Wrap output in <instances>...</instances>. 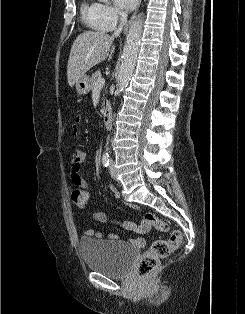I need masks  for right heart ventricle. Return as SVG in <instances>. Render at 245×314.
Instances as JSON below:
<instances>
[{
    "mask_svg": "<svg viewBox=\"0 0 245 314\" xmlns=\"http://www.w3.org/2000/svg\"><path fill=\"white\" fill-rule=\"evenodd\" d=\"M82 20L91 28L102 31L97 26V9L96 4L83 2L81 5Z\"/></svg>",
    "mask_w": 245,
    "mask_h": 314,
    "instance_id": "obj_1",
    "label": "right heart ventricle"
}]
</instances>
